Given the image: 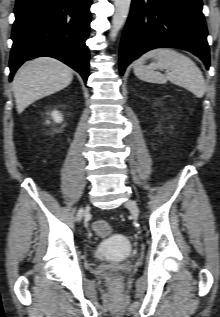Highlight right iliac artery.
I'll return each instance as SVG.
<instances>
[{
    "mask_svg": "<svg viewBox=\"0 0 220 317\" xmlns=\"http://www.w3.org/2000/svg\"><path fill=\"white\" fill-rule=\"evenodd\" d=\"M82 216V209L79 210L78 215H77V220H80Z\"/></svg>",
    "mask_w": 220,
    "mask_h": 317,
    "instance_id": "82829eb1",
    "label": "right iliac artery"
}]
</instances>
